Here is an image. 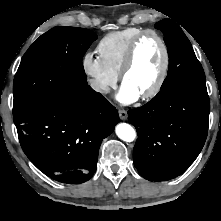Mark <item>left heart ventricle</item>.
<instances>
[{"label": "left heart ventricle", "instance_id": "1", "mask_svg": "<svg viewBox=\"0 0 221 221\" xmlns=\"http://www.w3.org/2000/svg\"><path fill=\"white\" fill-rule=\"evenodd\" d=\"M162 61L163 52L158 40L152 36L145 37L137 48L134 64L123 84L142 95L156 82Z\"/></svg>", "mask_w": 221, "mask_h": 221}]
</instances>
